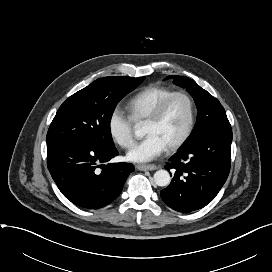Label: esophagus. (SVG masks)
<instances>
[{
	"label": "esophagus",
	"instance_id": "34e87169",
	"mask_svg": "<svg viewBox=\"0 0 272 272\" xmlns=\"http://www.w3.org/2000/svg\"><path fill=\"white\" fill-rule=\"evenodd\" d=\"M136 168L140 171H153L157 169L156 165H137Z\"/></svg>",
	"mask_w": 272,
	"mask_h": 272
}]
</instances>
